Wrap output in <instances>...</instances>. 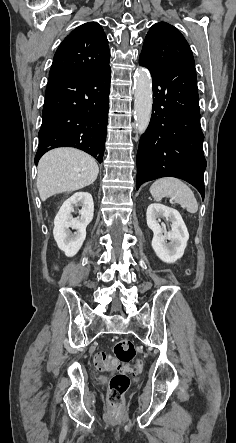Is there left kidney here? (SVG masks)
Instances as JSON below:
<instances>
[{
  "label": "left kidney",
  "instance_id": "left-kidney-1",
  "mask_svg": "<svg viewBox=\"0 0 236 443\" xmlns=\"http://www.w3.org/2000/svg\"><path fill=\"white\" fill-rule=\"evenodd\" d=\"M160 218H166L171 222V231L163 233ZM146 219L148 227L154 234L151 245L156 255L165 263H175L183 256L189 239L187 227L180 213L173 208L154 203L148 206Z\"/></svg>",
  "mask_w": 236,
  "mask_h": 443
}]
</instances>
